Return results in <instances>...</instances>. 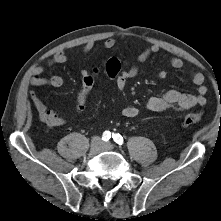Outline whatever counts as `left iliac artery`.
<instances>
[{
	"instance_id": "44dca946",
	"label": "left iliac artery",
	"mask_w": 221,
	"mask_h": 221,
	"mask_svg": "<svg viewBox=\"0 0 221 221\" xmlns=\"http://www.w3.org/2000/svg\"><path fill=\"white\" fill-rule=\"evenodd\" d=\"M112 138H113V140L117 143V144H119V145H122L123 144V137L120 135V134H118V133H113V135H112Z\"/></svg>"
}]
</instances>
